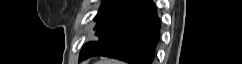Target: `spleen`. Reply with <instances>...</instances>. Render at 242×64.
Instances as JSON below:
<instances>
[{
  "label": "spleen",
  "instance_id": "3e777b00",
  "mask_svg": "<svg viewBox=\"0 0 242 64\" xmlns=\"http://www.w3.org/2000/svg\"><path fill=\"white\" fill-rule=\"evenodd\" d=\"M98 64H122V63L115 60H104V61H100Z\"/></svg>",
  "mask_w": 242,
  "mask_h": 64
}]
</instances>
